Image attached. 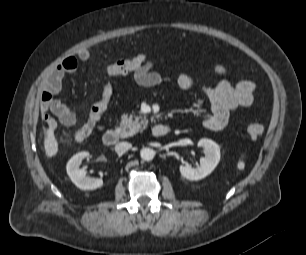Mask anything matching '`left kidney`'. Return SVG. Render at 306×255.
I'll return each instance as SVG.
<instances>
[{
    "instance_id": "5707ae66",
    "label": "left kidney",
    "mask_w": 306,
    "mask_h": 255,
    "mask_svg": "<svg viewBox=\"0 0 306 255\" xmlns=\"http://www.w3.org/2000/svg\"><path fill=\"white\" fill-rule=\"evenodd\" d=\"M197 145L202 147L205 153V157L200 159V165L196 168L183 165L179 167L182 177L191 181L203 179L211 174L220 161V148L217 143L203 138L199 140Z\"/></svg>"
}]
</instances>
